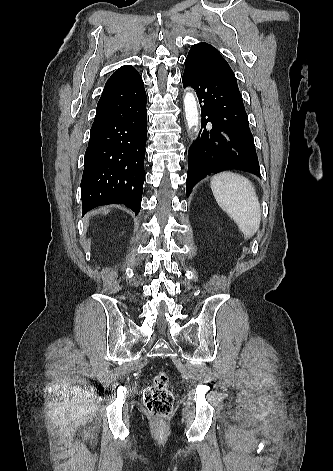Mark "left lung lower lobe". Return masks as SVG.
Returning a JSON list of instances; mask_svg holds the SVG:
<instances>
[{
  "instance_id": "1",
  "label": "left lung lower lobe",
  "mask_w": 333,
  "mask_h": 471,
  "mask_svg": "<svg viewBox=\"0 0 333 471\" xmlns=\"http://www.w3.org/2000/svg\"><path fill=\"white\" fill-rule=\"evenodd\" d=\"M182 82L196 91L202 116V129L188 153L187 196L198 180L222 170L239 169L260 177L239 90L212 61L199 54H188Z\"/></svg>"
}]
</instances>
